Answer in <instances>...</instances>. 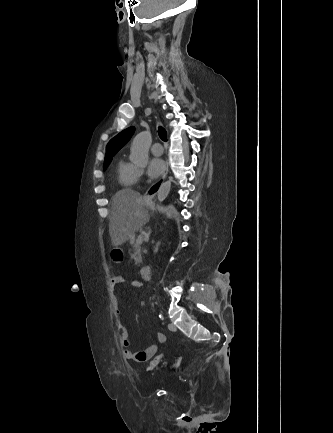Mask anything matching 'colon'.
Segmentation results:
<instances>
[{"label": "colon", "instance_id": "colon-1", "mask_svg": "<svg viewBox=\"0 0 333 433\" xmlns=\"http://www.w3.org/2000/svg\"><path fill=\"white\" fill-rule=\"evenodd\" d=\"M113 258H112V263L114 265H122L124 263V258L122 257L123 252L121 249H114L112 252ZM163 356H157L155 357L149 364L148 369L152 370L153 368H155L160 362L163 361Z\"/></svg>", "mask_w": 333, "mask_h": 433}]
</instances>
